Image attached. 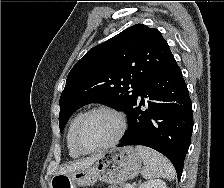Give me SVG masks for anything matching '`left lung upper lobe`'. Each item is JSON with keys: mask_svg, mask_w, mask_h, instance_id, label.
Wrapping results in <instances>:
<instances>
[{"mask_svg": "<svg viewBox=\"0 0 224 188\" xmlns=\"http://www.w3.org/2000/svg\"><path fill=\"white\" fill-rule=\"evenodd\" d=\"M173 59L161 33L143 24L93 47L67 76L60 98V130L77 109L94 102L116 106L129 119L143 84Z\"/></svg>", "mask_w": 224, "mask_h": 188, "instance_id": "1", "label": "left lung upper lobe"}]
</instances>
